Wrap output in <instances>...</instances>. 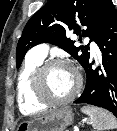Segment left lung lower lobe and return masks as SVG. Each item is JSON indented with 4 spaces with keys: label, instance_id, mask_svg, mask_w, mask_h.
Wrapping results in <instances>:
<instances>
[{
    "label": "left lung lower lobe",
    "instance_id": "0a47b994",
    "mask_svg": "<svg viewBox=\"0 0 117 131\" xmlns=\"http://www.w3.org/2000/svg\"><path fill=\"white\" fill-rule=\"evenodd\" d=\"M95 42L102 54L101 66L93 69L89 61L83 66L86 86L74 103L102 107L117 117V11L112 2L105 12Z\"/></svg>",
    "mask_w": 117,
    "mask_h": 131
}]
</instances>
